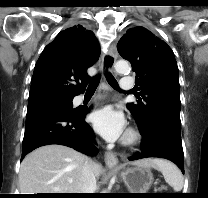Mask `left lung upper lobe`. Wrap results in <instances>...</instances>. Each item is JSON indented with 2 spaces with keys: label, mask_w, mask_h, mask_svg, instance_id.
I'll use <instances>...</instances> for the list:
<instances>
[{
  "label": "left lung upper lobe",
  "mask_w": 208,
  "mask_h": 198,
  "mask_svg": "<svg viewBox=\"0 0 208 198\" xmlns=\"http://www.w3.org/2000/svg\"><path fill=\"white\" fill-rule=\"evenodd\" d=\"M120 55L136 73L140 96L127 104L140 132L156 120H167L181 128L178 66L170 47L142 26L128 29L119 40Z\"/></svg>",
  "instance_id": "obj_1"
}]
</instances>
